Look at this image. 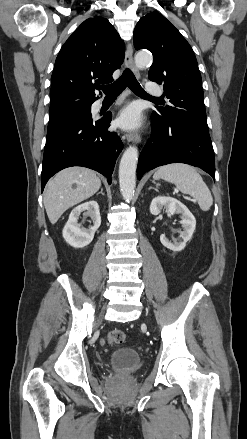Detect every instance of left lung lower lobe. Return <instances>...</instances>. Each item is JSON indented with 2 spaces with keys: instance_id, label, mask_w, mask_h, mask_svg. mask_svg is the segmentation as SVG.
I'll return each mask as SVG.
<instances>
[{
  "instance_id": "obj_1",
  "label": "left lung lower lobe",
  "mask_w": 247,
  "mask_h": 439,
  "mask_svg": "<svg viewBox=\"0 0 247 439\" xmlns=\"http://www.w3.org/2000/svg\"><path fill=\"white\" fill-rule=\"evenodd\" d=\"M170 163L200 167L215 179L214 151L208 127L187 118L163 121L152 115V133L140 154L137 178Z\"/></svg>"
}]
</instances>
